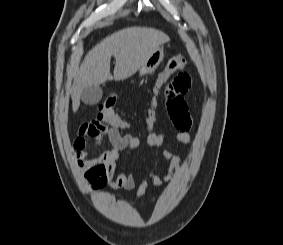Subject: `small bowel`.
Segmentation results:
<instances>
[{"mask_svg":"<svg viewBox=\"0 0 283 245\" xmlns=\"http://www.w3.org/2000/svg\"><path fill=\"white\" fill-rule=\"evenodd\" d=\"M191 85L192 79L186 72L179 73L169 82L165 91V105L176 132L172 136L153 132L147 138L148 146L158 148L161 156L169 161L167 173L164 175L149 173L139 184V172L124 170L114 178L120 152L125 151L127 155H130L140 145V138L131 133L121 135L117 127L109 125L99 118L85 122L80 126L77 137L73 142V153L77 166L92 189L99 190L106 186L112 189H136L137 195L141 196L146 192L149 184L162 186L180 178L182 160L165 148L164 143L169 138H173L188 147L192 143L189 131L192 127L193 118L188 112L184 100V96L190 90ZM90 137H106L109 145L99 155L89 157L87 146Z\"/></svg>","mask_w":283,"mask_h":245,"instance_id":"1","label":"small bowel"}]
</instances>
